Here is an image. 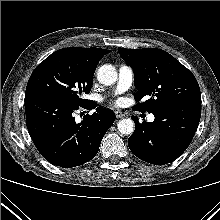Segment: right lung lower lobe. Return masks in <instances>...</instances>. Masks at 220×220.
Here are the masks:
<instances>
[{"mask_svg": "<svg viewBox=\"0 0 220 220\" xmlns=\"http://www.w3.org/2000/svg\"><path fill=\"white\" fill-rule=\"evenodd\" d=\"M79 106L93 109L97 104L87 101L77 106L46 94L25 95L30 136L42 156L55 166L76 167L93 159L103 136L114 123V112L98 107L77 124L72 113Z\"/></svg>", "mask_w": 220, "mask_h": 220, "instance_id": "98d812e1", "label": "right lung lower lobe"}]
</instances>
